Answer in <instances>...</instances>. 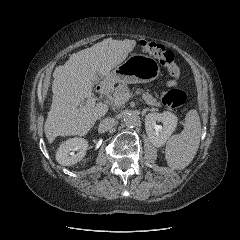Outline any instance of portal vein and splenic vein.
Returning a JSON list of instances; mask_svg holds the SVG:
<instances>
[{
	"label": "portal vein and splenic vein",
	"instance_id": "1",
	"mask_svg": "<svg viewBox=\"0 0 240 240\" xmlns=\"http://www.w3.org/2000/svg\"><path fill=\"white\" fill-rule=\"evenodd\" d=\"M130 97H131V95L129 94V93H126L125 95H124V97H122V98H117V99H123V100H126V101H128L129 99H130ZM116 103V102H115ZM95 106V99L94 98H89V99H87V101H86V105L85 106H83V105H80V110H84L86 107H94Z\"/></svg>",
	"mask_w": 240,
	"mask_h": 240
}]
</instances>
